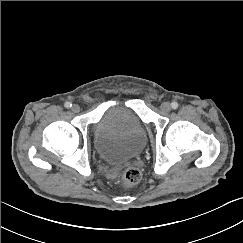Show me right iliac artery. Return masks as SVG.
I'll list each match as a JSON object with an SVG mask.
<instances>
[{"mask_svg":"<svg viewBox=\"0 0 243 243\" xmlns=\"http://www.w3.org/2000/svg\"><path fill=\"white\" fill-rule=\"evenodd\" d=\"M64 106H65L66 108H70V107L72 106V104H71L70 102H66V103L64 104Z\"/></svg>","mask_w":243,"mask_h":243,"instance_id":"82829eb1","label":"right iliac artery"}]
</instances>
